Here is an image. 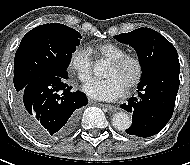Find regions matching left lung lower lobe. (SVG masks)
I'll return each instance as SVG.
<instances>
[{
	"mask_svg": "<svg viewBox=\"0 0 190 165\" xmlns=\"http://www.w3.org/2000/svg\"><path fill=\"white\" fill-rule=\"evenodd\" d=\"M180 65L158 68L141 78L138 98L131 97L120 108L132 112V125L126 132L150 137L160 132L172 117L179 89Z\"/></svg>",
	"mask_w": 190,
	"mask_h": 165,
	"instance_id": "0a47b994",
	"label": "left lung lower lobe"
}]
</instances>
